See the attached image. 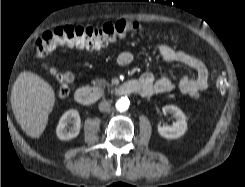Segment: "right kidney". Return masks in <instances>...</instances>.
Segmentation results:
<instances>
[{
    "label": "right kidney",
    "instance_id": "obj_1",
    "mask_svg": "<svg viewBox=\"0 0 245 187\" xmlns=\"http://www.w3.org/2000/svg\"><path fill=\"white\" fill-rule=\"evenodd\" d=\"M73 123V127L67 130V124ZM81 127L79 112L75 109L66 111L59 120L56 128L57 137L60 140H71L78 136Z\"/></svg>",
    "mask_w": 245,
    "mask_h": 187
}]
</instances>
